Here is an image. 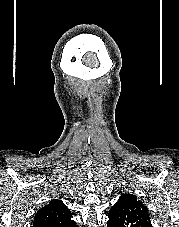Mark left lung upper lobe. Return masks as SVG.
I'll use <instances>...</instances> for the list:
<instances>
[{
  "label": "left lung upper lobe",
  "mask_w": 179,
  "mask_h": 227,
  "mask_svg": "<svg viewBox=\"0 0 179 227\" xmlns=\"http://www.w3.org/2000/svg\"><path fill=\"white\" fill-rule=\"evenodd\" d=\"M108 217L113 227H152L147 207L133 194H123Z\"/></svg>",
  "instance_id": "1"
}]
</instances>
